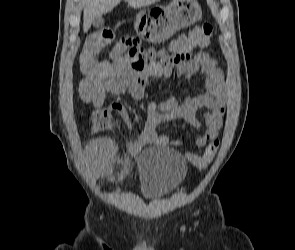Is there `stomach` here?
I'll use <instances>...</instances> for the list:
<instances>
[{
    "label": "stomach",
    "mask_w": 295,
    "mask_h": 250,
    "mask_svg": "<svg viewBox=\"0 0 295 250\" xmlns=\"http://www.w3.org/2000/svg\"><path fill=\"white\" fill-rule=\"evenodd\" d=\"M202 18V9L196 0H172L168 5L139 10L135 21L137 35L149 45H162L176 31Z\"/></svg>",
    "instance_id": "obj_1"
}]
</instances>
